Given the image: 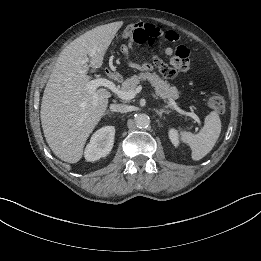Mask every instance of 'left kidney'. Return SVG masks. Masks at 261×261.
<instances>
[{
	"instance_id": "obj_1",
	"label": "left kidney",
	"mask_w": 261,
	"mask_h": 261,
	"mask_svg": "<svg viewBox=\"0 0 261 261\" xmlns=\"http://www.w3.org/2000/svg\"><path fill=\"white\" fill-rule=\"evenodd\" d=\"M168 134L172 144L177 147L179 144L177 131L175 129H170Z\"/></svg>"
}]
</instances>
